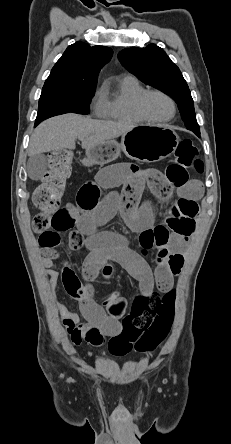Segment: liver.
I'll use <instances>...</instances> for the list:
<instances>
[{
  "mask_svg": "<svg viewBox=\"0 0 231 444\" xmlns=\"http://www.w3.org/2000/svg\"><path fill=\"white\" fill-rule=\"evenodd\" d=\"M132 124L93 120L69 113L42 122L31 136L28 155L75 149V141L82 142L86 151L129 132Z\"/></svg>",
  "mask_w": 231,
  "mask_h": 444,
  "instance_id": "obj_1",
  "label": "liver"
}]
</instances>
